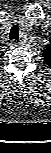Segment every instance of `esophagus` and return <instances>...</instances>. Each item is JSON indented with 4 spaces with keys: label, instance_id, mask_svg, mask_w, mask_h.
<instances>
[{
    "label": "esophagus",
    "instance_id": "obj_1",
    "mask_svg": "<svg viewBox=\"0 0 51 153\" xmlns=\"http://www.w3.org/2000/svg\"><path fill=\"white\" fill-rule=\"evenodd\" d=\"M15 44H17V42L14 41V42H13V45H15Z\"/></svg>",
    "mask_w": 51,
    "mask_h": 153
}]
</instances>
